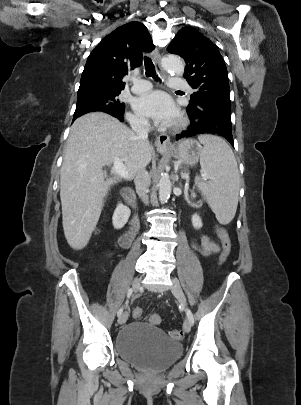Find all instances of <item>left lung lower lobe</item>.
<instances>
[{
    "label": "left lung lower lobe",
    "instance_id": "0a47b994",
    "mask_svg": "<svg viewBox=\"0 0 301 405\" xmlns=\"http://www.w3.org/2000/svg\"><path fill=\"white\" fill-rule=\"evenodd\" d=\"M191 124L188 129L176 136V140L201 134H212L224 137L234 147L231 128V113L212 107H198L187 110Z\"/></svg>",
    "mask_w": 301,
    "mask_h": 405
}]
</instances>
